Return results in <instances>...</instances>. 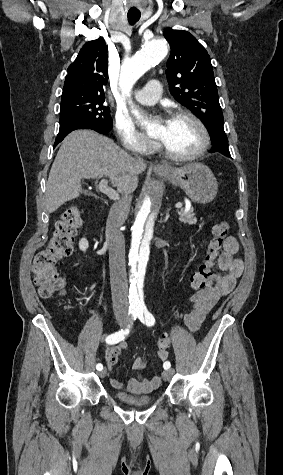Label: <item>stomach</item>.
<instances>
[{"label":"stomach","instance_id":"1","mask_svg":"<svg viewBox=\"0 0 283 475\" xmlns=\"http://www.w3.org/2000/svg\"><path fill=\"white\" fill-rule=\"evenodd\" d=\"M167 172H157L153 168V172L169 182L175 184L184 190L186 196L196 202V204H209L214 200L218 192V182L208 166L204 164H185L183 168H172L165 166Z\"/></svg>","mask_w":283,"mask_h":475}]
</instances>
